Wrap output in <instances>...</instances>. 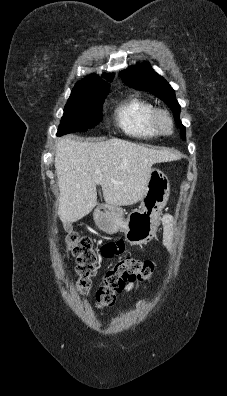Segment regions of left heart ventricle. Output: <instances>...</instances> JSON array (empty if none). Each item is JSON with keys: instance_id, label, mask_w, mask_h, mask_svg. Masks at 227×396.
<instances>
[{"instance_id": "obj_1", "label": "left heart ventricle", "mask_w": 227, "mask_h": 396, "mask_svg": "<svg viewBox=\"0 0 227 396\" xmlns=\"http://www.w3.org/2000/svg\"><path fill=\"white\" fill-rule=\"evenodd\" d=\"M162 124H163L164 126H167V125H168L167 120L163 119V120H162Z\"/></svg>"}]
</instances>
